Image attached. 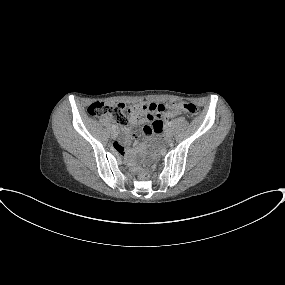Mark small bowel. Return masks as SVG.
<instances>
[{"label": "small bowel", "instance_id": "obj_1", "mask_svg": "<svg viewBox=\"0 0 285 285\" xmlns=\"http://www.w3.org/2000/svg\"><path fill=\"white\" fill-rule=\"evenodd\" d=\"M148 113L144 116H133L130 119V125L125 128V138L114 144V148L122 156L126 155V146L138 138V133L134 128L138 124H143V133L150 137L154 132L160 130L163 124V119L155 118L156 115H163L165 113V105L162 103L148 102Z\"/></svg>", "mask_w": 285, "mask_h": 285}]
</instances>
